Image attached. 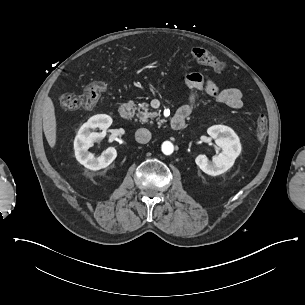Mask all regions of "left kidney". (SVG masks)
<instances>
[{"mask_svg": "<svg viewBox=\"0 0 305 305\" xmlns=\"http://www.w3.org/2000/svg\"><path fill=\"white\" fill-rule=\"evenodd\" d=\"M208 134L216 145L223 149V154L214 157L210 162L206 155L198 154L195 163L205 174L218 176L229 170L241 152L238 136L227 126L216 125L208 129Z\"/></svg>", "mask_w": 305, "mask_h": 305, "instance_id": "1", "label": "left kidney"}]
</instances>
